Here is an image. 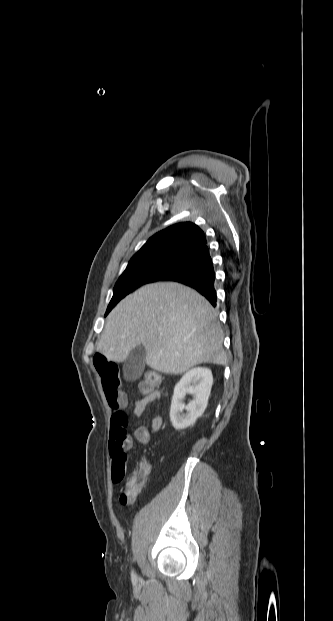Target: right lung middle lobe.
Listing matches in <instances>:
<instances>
[{"label":"right lung middle lobe","instance_id":"dd1d6c3e","mask_svg":"<svg viewBox=\"0 0 333 621\" xmlns=\"http://www.w3.org/2000/svg\"><path fill=\"white\" fill-rule=\"evenodd\" d=\"M185 259L168 257L129 263L113 289V297L107 307V315L126 295L138 287L160 281L177 269Z\"/></svg>","mask_w":333,"mask_h":621}]
</instances>
